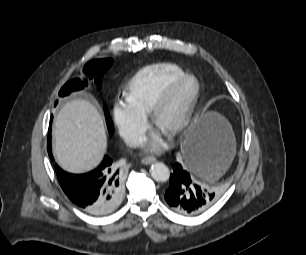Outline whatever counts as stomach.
Wrapping results in <instances>:
<instances>
[{
	"label": "stomach",
	"instance_id": "1",
	"mask_svg": "<svg viewBox=\"0 0 306 255\" xmlns=\"http://www.w3.org/2000/svg\"><path fill=\"white\" fill-rule=\"evenodd\" d=\"M204 145L228 143L229 154L223 157L211 174L198 169H192L196 176L209 182L219 178L229 167L234 154V134L228 121L216 112H206L194 119L184 138V151L192 143Z\"/></svg>",
	"mask_w": 306,
	"mask_h": 255
}]
</instances>
